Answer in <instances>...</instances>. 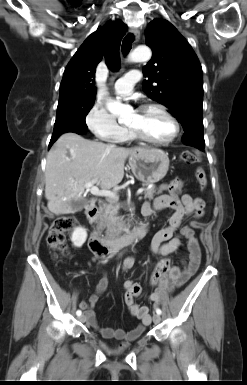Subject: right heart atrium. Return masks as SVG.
Here are the masks:
<instances>
[{
	"label": "right heart atrium",
	"mask_w": 247,
	"mask_h": 385,
	"mask_svg": "<svg viewBox=\"0 0 247 385\" xmlns=\"http://www.w3.org/2000/svg\"><path fill=\"white\" fill-rule=\"evenodd\" d=\"M86 125L98 139L111 143L119 142L126 131L100 102H95L88 111Z\"/></svg>",
	"instance_id": "obj_1"
}]
</instances>
